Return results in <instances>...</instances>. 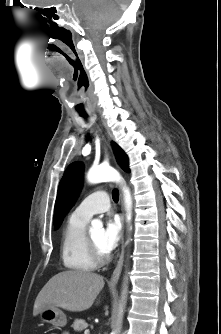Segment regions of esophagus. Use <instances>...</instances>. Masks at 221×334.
Here are the masks:
<instances>
[{"label": "esophagus", "mask_w": 221, "mask_h": 334, "mask_svg": "<svg viewBox=\"0 0 221 334\" xmlns=\"http://www.w3.org/2000/svg\"><path fill=\"white\" fill-rule=\"evenodd\" d=\"M120 199H121V205H122V214H121V222L122 224H124V213H123V198H122V193L120 194ZM125 246H126V243L124 242L123 240V243H122V250H121V254H120V257L118 259V262H117V266L111 276V279L109 281V284L110 285H115L117 282H118V279L120 277V273H121V270H122V266H123V261H124V253H125Z\"/></svg>", "instance_id": "34e87169"}]
</instances>
